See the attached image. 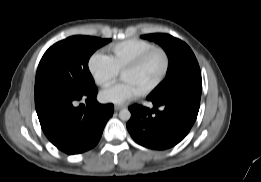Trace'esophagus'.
<instances>
[{
	"instance_id": "esophagus-1",
	"label": "esophagus",
	"mask_w": 261,
	"mask_h": 182,
	"mask_svg": "<svg viewBox=\"0 0 261 182\" xmlns=\"http://www.w3.org/2000/svg\"><path fill=\"white\" fill-rule=\"evenodd\" d=\"M126 106L125 105H115V111H119L121 109H124Z\"/></svg>"
}]
</instances>
